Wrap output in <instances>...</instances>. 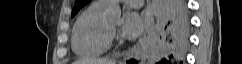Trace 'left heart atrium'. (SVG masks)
Returning <instances> with one entry per match:
<instances>
[{
    "label": "left heart atrium",
    "instance_id": "left-heart-atrium-1",
    "mask_svg": "<svg viewBox=\"0 0 242 64\" xmlns=\"http://www.w3.org/2000/svg\"><path fill=\"white\" fill-rule=\"evenodd\" d=\"M144 29L142 17L134 11H127L124 14L122 33L127 38L133 39L140 36Z\"/></svg>",
    "mask_w": 242,
    "mask_h": 64
}]
</instances>
